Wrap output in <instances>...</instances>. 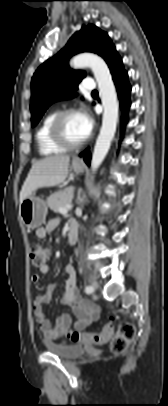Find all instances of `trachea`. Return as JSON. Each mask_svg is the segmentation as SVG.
Returning a JSON list of instances; mask_svg holds the SVG:
<instances>
[{
  "mask_svg": "<svg viewBox=\"0 0 168 406\" xmlns=\"http://www.w3.org/2000/svg\"><path fill=\"white\" fill-rule=\"evenodd\" d=\"M98 92L96 91V90H94L93 92H92V94H97Z\"/></svg>",
  "mask_w": 168,
  "mask_h": 406,
  "instance_id": "1",
  "label": "trachea"
}]
</instances>
